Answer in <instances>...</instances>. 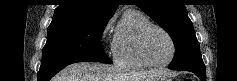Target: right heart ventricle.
I'll list each match as a JSON object with an SVG mask.
<instances>
[{
	"label": "right heart ventricle",
	"mask_w": 237,
	"mask_h": 81,
	"mask_svg": "<svg viewBox=\"0 0 237 81\" xmlns=\"http://www.w3.org/2000/svg\"><path fill=\"white\" fill-rule=\"evenodd\" d=\"M151 24L139 10H127L119 23L112 44L113 57L117 64L128 68H145L147 63L138 50L141 31Z\"/></svg>",
	"instance_id": "right-heart-ventricle-1"
}]
</instances>
